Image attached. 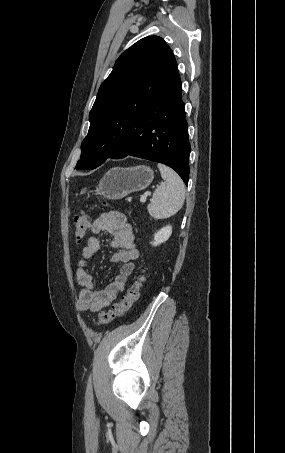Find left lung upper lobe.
<instances>
[{"instance_id": "1", "label": "left lung upper lobe", "mask_w": 285, "mask_h": 453, "mask_svg": "<svg viewBox=\"0 0 285 453\" xmlns=\"http://www.w3.org/2000/svg\"><path fill=\"white\" fill-rule=\"evenodd\" d=\"M175 57L158 36L145 37L117 59L89 113L90 128L76 169H94L113 153L155 95Z\"/></svg>"}]
</instances>
